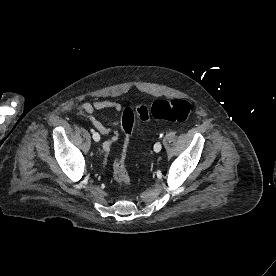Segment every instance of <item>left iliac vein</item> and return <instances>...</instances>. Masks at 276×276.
I'll list each match as a JSON object with an SVG mask.
<instances>
[{
	"instance_id": "4c4485c4",
	"label": "left iliac vein",
	"mask_w": 276,
	"mask_h": 276,
	"mask_svg": "<svg viewBox=\"0 0 276 276\" xmlns=\"http://www.w3.org/2000/svg\"><path fill=\"white\" fill-rule=\"evenodd\" d=\"M161 148H162L161 143L160 142H156L155 145H154L155 152H160Z\"/></svg>"
}]
</instances>
